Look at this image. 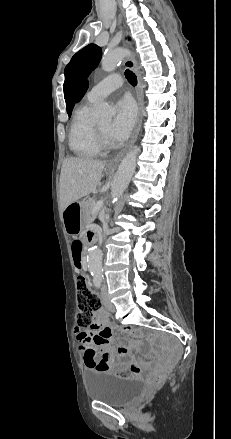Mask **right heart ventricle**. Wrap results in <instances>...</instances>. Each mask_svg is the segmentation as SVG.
I'll list each match as a JSON object with an SVG mask.
<instances>
[{
	"instance_id": "1",
	"label": "right heart ventricle",
	"mask_w": 231,
	"mask_h": 439,
	"mask_svg": "<svg viewBox=\"0 0 231 439\" xmlns=\"http://www.w3.org/2000/svg\"><path fill=\"white\" fill-rule=\"evenodd\" d=\"M94 101L87 100L74 111L68 143L70 150L80 158L89 159L99 155L100 147L96 138V121L91 115Z\"/></svg>"
}]
</instances>
